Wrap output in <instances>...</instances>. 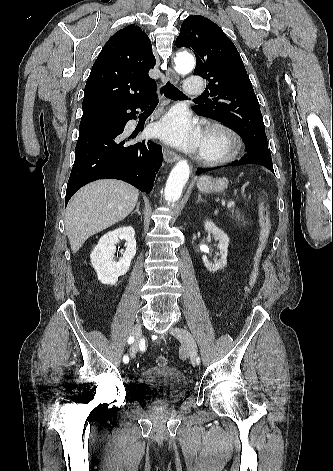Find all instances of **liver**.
<instances>
[{"label": "liver", "instance_id": "1", "mask_svg": "<svg viewBox=\"0 0 333 471\" xmlns=\"http://www.w3.org/2000/svg\"><path fill=\"white\" fill-rule=\"evenodd\" d=\"M139 191L115 179H101L82 187L66 210L65 229L76 253L92 235L126 218L138 201Z\"/></svg>", "mask_w": 333, "mask_h": 471}]
</instances>
